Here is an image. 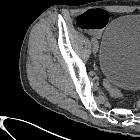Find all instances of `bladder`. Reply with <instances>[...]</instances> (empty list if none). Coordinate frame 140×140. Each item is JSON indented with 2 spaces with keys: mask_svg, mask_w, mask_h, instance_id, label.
<instances>
[{
  "mask_svg": "<svg viewBox=\"0 0 140 140\" xmlns=\"http://www.w3.org/2000/svg\"><path fill=\"white\" fill-rule=\"evenodd\" d=\"M99 66L116 87L129 91L140 89V14L123 15L106 27Z\"/></svg>",
  "mask_w": 140,
  "mask_h": 140,
  "instance_id": "31cf9c89",
  "label": "bladder"
}]
</instances>
